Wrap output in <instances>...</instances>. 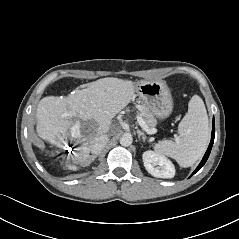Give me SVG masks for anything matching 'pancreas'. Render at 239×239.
Segmentation results:
<instances>
[{"label": "pancreas", "instance_id": "obj_1", "mask_svg": "<svg viewBox=\"0 0 239 239\" xmlns=\"http://www.w3.org/2000/svg\"><path fill=\"white\" fill-rule=\"evenodd\" d=\"M138 110L140 112V116L144 119L149 128H154L157 124V121L154 115L148 109V107L145 105H139Z\"/></svg>", "mask_w": 239, "mask_h": 239}]
</instances>
